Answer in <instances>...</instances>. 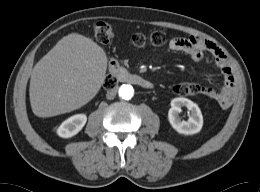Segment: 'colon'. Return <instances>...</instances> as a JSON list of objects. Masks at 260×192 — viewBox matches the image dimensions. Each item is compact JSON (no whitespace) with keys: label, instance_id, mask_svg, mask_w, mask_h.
I'll use <instances>...</instances> for the list:
<instances>
[{"label":"colon","instance_id":"1","mask_svg":"<svg viewBox=\"0 0 260 192\" xmlns=\"http://www.w3.org/2000/svg\"><path fill=\"white\" fill-rule=\"evenodd\" d=\"M94 36L101 44L109 43L114 37L112 26L106 21H99L94 25ZM132 44L137 48L146 46L160 47L167 42V35L163 31H155L150 36L146 37L143 34H135L132 36ZM116 80L110 73L105 81L104 87L111 89L115 86ZM200 86L196 83L181 82L174 86V92L178 95L187 96L199 93Z\"/></svg>","mask_w":260,"mask_h":192}]
</instances>
